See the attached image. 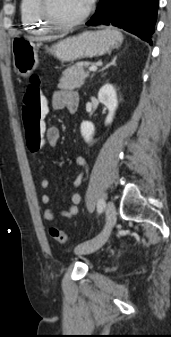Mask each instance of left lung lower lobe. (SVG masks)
Returning a JSON list of instances; mask_svg holds the SVG:
<instances>
[{
  "instance_id": "left-lung-lower-lobe-1",
  "label": "left lung lower lobe",
  "mask_w": 171,
  "mask_h": 337,
  "mask_svg": "<svg viewBox=\"0 0 171 337\" xmlns=\"http://www.w3.org/2000/svg\"><path fill=\"white\" fill-rule=\"evenodd\" d=\"M158 0H100L88 26L113 25L152 45Z\"/></svg>"
}]
</instances>
